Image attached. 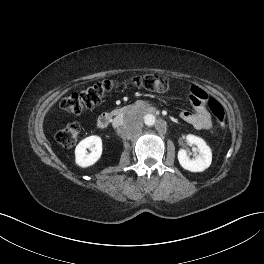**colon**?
Here are the masks:
<instances>
[{"label":"colon","instance_id":"1","mask_svg":"<svg viewBox=\"0 0 264 264\" xmlns=\"http://www.w3.org/2000/svg\"><path fill=\"white\" fill-rule=\"evenodd\" d=\"M122 84H130L158 93L166 92L169 89V82L167 79L153 74L135 76L125 82L104 80L80 92L66 96L61 100L60 107L62 110L72 114H79L90 110L98 105L106 94ZM208 109L213 114L218 124L224 127L225 111L223 106L215 100H210L208 102ZM78 136L79 127L77 124H69L59 129L55 134L57 142L66 148L73 147L78 140Z\"/></svg>","mask_w":264,"mask_h":264}]
</instances>
